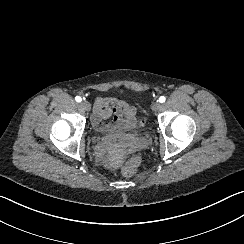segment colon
Instances as JSON below:
<instances>
[{"mask_svg":"<svg viewBox=\"0 0 244 244\" xmlns=\"http://www.w3.org/2000/svg\"><path fill=\"white\" fill-rule=\"evenodd\" d=\"M138 171V166L135 163H130L122 168V173L125 176H133Z\"/></svg>","mask_w":244,"mask_h":244,"instance_id":"5ec220e1","label":"colon"}]
</instances>
